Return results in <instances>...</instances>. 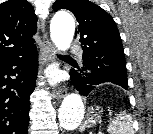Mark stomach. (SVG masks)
<instances>
[{
	"label": "stomach",
	"mask_w": 153,
	"mask_h": 134,
	"mask_svg": "<svg viewBox=\"0 0 153 134\" xmlns=\"http://www.w3.org/2000/svg\"><path fill=\"white\" fill-rule=\"evenodd\" d=\"M102 112L103 110L98 106L90 108L87 115L88 125H95L96 122L101 118Z\"/></svg>",
	"instance_id": "1"
}]
</instances>
